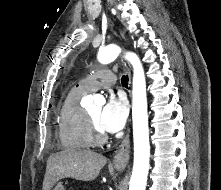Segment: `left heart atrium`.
<instances>
[{
	"mask_svg": "<svg viewBox=\"0 0 221 190\" xmlns=\"http://www.w3.org/2000/svg\"><path fill=\"white\" fill-rule=\"evenodd\" d=\"M127 119V103L123 99L111 97L102 108L99 127L101 131L116 133L120 131Z\"/></svg>",
	"mask_w": 221,
	"mask_h": 190,
	"instance_id": "left-heart-atrium-1",
	"label": "left heart atrium"
}]
</instances>
